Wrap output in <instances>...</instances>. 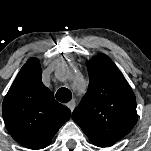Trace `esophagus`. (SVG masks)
<instances>
[{"instance_id":"1","label":"esophagus","mask_w":151,"mask_h":151,"mask_svg":"<svg viewBox=\"0 0 151 151\" xmlns=\"http://www.w3.org/2000/svg\"><path fill=\"white\" fill-rule=\"evenodd\" d=\"M75 105H76L75 100H71L69 103H67V107H68L71 111L74 110Z\"/></svg>"}]
</instances>
